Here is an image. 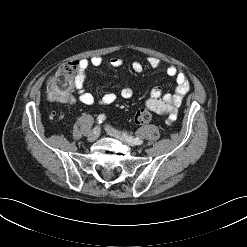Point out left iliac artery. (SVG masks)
<instances>
[{
	"instance_id": "1",
	"label": "left iliac artery",
	"mask_w": 247,
	"mask_h": 247,
	"mask_svg": "<svg viewBox=\"0 0 247 247\" xmlns=\"http://www.w3.org/2000/svg\"><path fill=\"white\" fill-rule=\"evenodd\" d=\"M126 136V134H124ZM128 138L129 141H131L132 143H134L135 145H140L143 143V141L139 138H134L132 136H126Z\"/></svg>"
}]
</instances>
